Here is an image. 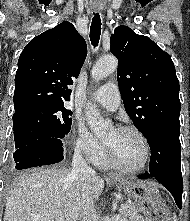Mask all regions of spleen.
Segmentation results:
<instances>
[{
  "mask_svg": "<svg viewBox=\"0 0 190 221\" xmlns=\"http://www.w3.org/2000/svg\"><path fill=\"white\" fill-rule=\"evenodd\" d=\"M173 219H174V221H177V217H176L175 214H174V216H173Z\"/></svg>",
  "mask_w": 190,
  "mask_h": 221,
  "instance_id": "spleen-1",
  "label": "spleen"
}]
</instances>
